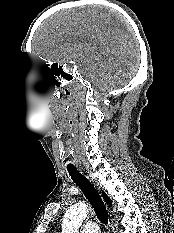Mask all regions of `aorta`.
<instances>
[{
  "label": "aorta",
  "mask_w": 174,
  "mask_h": 233,
  "mask_svg": "<svg viewBox=\"0 0 174 233\" xmlns=\"http://www.w3.org/2000/svg\"><path fill=\"white\" fill-rule=\"evenodd\" d=\"M89 212L88 205L77 203L71 206L64 214L61 233H78L79 227Z\"/></svg>",
  "instance_id": "obj_1"
}]
</instances>
